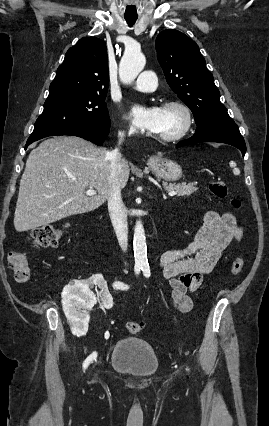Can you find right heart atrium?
I'll use <instances>...</instances> for the list:
<instances>
[{"mask_svg":"<svg viewBox=\"0 0 269 426\" xmlns=\"http://www.w3.org/2000/svg\"><path fill=\"white\" fill-rule=\"evenodd\" d=\"M120 132L125 135H132L134 133V129L131 126L123 127Z\"/></svg>","mask_w":269,"mask_h":426,"instance_id":"d8ad5b80","label":"right heart atrium"}]
</instances>
